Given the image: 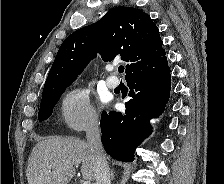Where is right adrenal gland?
Instances as JSON below:
<instances>
[{"label": "right adrenal gland", "mask_w": 224, "mask_h": 184, "mask_svg": "<svg viewBox=\"0 0 224 184\" xmlns=\"http://www.w3.org/2000/svg\"><path fill=\"white\" fill-rule=\"evenodd\" d=\"M111 179L114 180V171H111Z\"/></svg>", "instance_id": "1"}]
</instances>
